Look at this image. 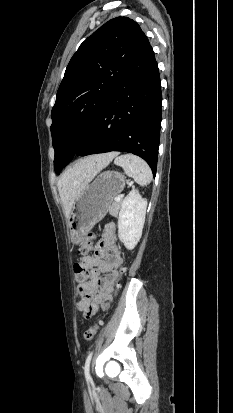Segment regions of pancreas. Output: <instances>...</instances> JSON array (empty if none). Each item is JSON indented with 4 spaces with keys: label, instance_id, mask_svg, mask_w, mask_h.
<instances>
[{
    "label": "pancreas",
    "instance_id": "obj_1",
    "mask_svg": "<svg viewBox=\"0 0 233 413\" xmlns=\"http://www.w3.org/2000/svg\"><path fill=\"white\" fill-rule=\"evenodd\" d=\"M121 205H122V201H119V202L114 201V202L111 204V206L109 207V213H110L112 216L117 217L118 212H119V210H120V208H121Z\"/></svg>",
    "mask_w": 233,
    "mask_h": 413
}]
</instances>
